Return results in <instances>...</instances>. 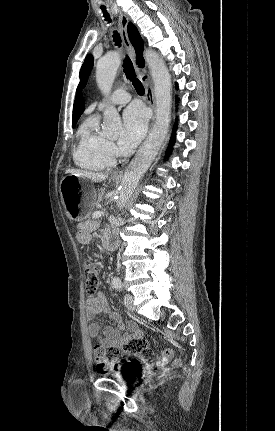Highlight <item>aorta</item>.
<instances>
[{"instance_id": "1", "label": "aorta", "mask_w": 275, "mask_h": 431, "mask_svg": "<svg viewBox=\"0 0 275 431\" xmlns=\"http://www.w3.org/2000/svg\"><path fill=\"white\" fill-rule=\"evenodd\" d=\"M144 58L150 68L154 84L156 119L149 136L128 165L122 178L116 200L120 210L127 204L139 181L155 160L170 124L171 76L165 62L155 51L146 50ZM120 63L121 56L118 52H110L97 62L96 81L105 95L111 91ZM121 126L117 110L113 106H108L104 111L103 133L106 136H115Z\"/></svg>"}]
</instances>
